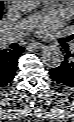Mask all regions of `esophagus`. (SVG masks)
<instances>
[{
  "label": "esophagus",
  "instance_id": "obj_1",
  "mask_svg": "<svg viewBox=\"0 0 74 122\" xmlns=\"http://www.w3.org/2000/svg\"><path fill=\"white\" fill-rule=\"evenodd\" d=\"M29 47H33L34 49H42L45 47V44L41 42H34V43H31Z\"/></svg>",
  "mask_w": 74,
  "mask_h": 122
}]
</instances>
